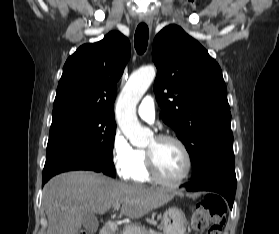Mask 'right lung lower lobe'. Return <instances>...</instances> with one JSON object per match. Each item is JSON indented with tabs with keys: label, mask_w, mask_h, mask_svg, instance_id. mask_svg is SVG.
Masks as SVG:
<instances>
[{
	"label": "right lung lower lobe",
	"mask_w": 279,
	"mask_h": 234,
	"mask_svg": "<svg viewBox=\"0 0 279 234\" xmlns=\"http://www.w3.org/2000/svg\"><path fill=\"white\" fill-rule=\"evenodd\" d=\"M71 170H93L101 172L99 167L86 158L76 155L65 156L44 167L42 184L44 185L52 176L58 173Z\"/></svg>",
	"instance_id": "98d812e1"
}]
</instances>
